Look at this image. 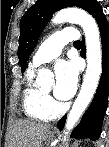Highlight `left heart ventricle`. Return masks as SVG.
<instances>
[{"label":"left heart ventricle","instance_id":"left-heart-ventricle-1","mask_svg":"<svg viewBox=\"0 0 109 147\" xmlns=\"http://www.w3.org/2000/svg\"><path fill=\"white\" fill-rule=\"evenodd\" d=\"M52 87L53 85L50 88L45 89V91H50Z\"/></svg>","mask_w":109,"mask_h":147}]
</instances>
